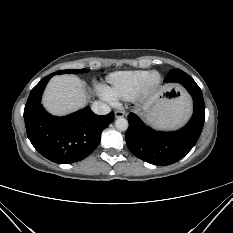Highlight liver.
I'll return each instance as SVG.
<instances>
[{
	"label": "liver",
	"mask_w": 233,
	"mask_h": 233,
	"mask_svg": "<svg viewBox=\"0 0 233 233\" xmlns=\"http://www.w3.org/2000/svg\"><path fill=\"white\" fill-rule=\"evenodd\" d=\"M158 94L146 101L143 108L150 107ZM84 83L75 75H60L51 78L43 95V105L53 115H66L87 104Z\"/></svg>",
	"instance_id": "obj_1"
}]
</instances>
